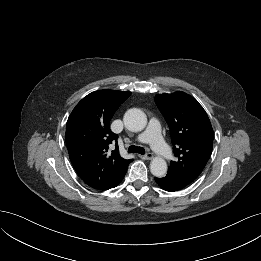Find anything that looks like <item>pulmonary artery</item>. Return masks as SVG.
I'll use <instances>...</instances> for the list:
<instances>
[{"instance_id": "e3ab8cb5", "label": "pulmonary artery", "mask_w": 261, "mask_h": 261, "mask_svg": "<svg viewBox=\"0 0 261 261\" xmlns=\"http://www.w3.org/2000/svg\"><path fill=\"white\" fill-rule=\"evenodd\" d=\"M138 141L150 143L153 150L161 157L169 159L171 151L161 136L160 124L151 119L145 132L138 136Z\"/></svg>"}]
</instances>
